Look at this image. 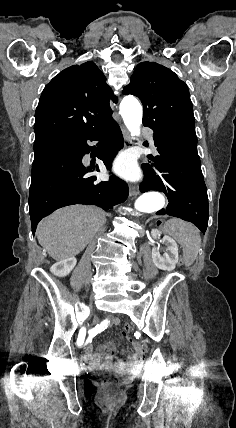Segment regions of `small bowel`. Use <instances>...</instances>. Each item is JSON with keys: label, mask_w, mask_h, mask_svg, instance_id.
<instances>
[{"label": "small bowel", "mask_w": 236, "mask_h": 428, "mask_svg": "<svg viewBox=\"0 0 236 428\" xmlns=\"http://www.w3.org/2000/svg\"><path fill=\"white\" fill-rule=\"evenodd\" d=\"M120 323L117 317H106L101 323L94 327L89 334V340L86 346V357L85 362L90 367L96 368L101 366H116L124 370H136L144 361L145 358V347L142 343L133 341L134 354L126 361H114L115 345L112 342L100 344L96 352H93V346L91 339L101 333L103 330L110 326H115Z\"/></svg>", "instance_id": "c3829d8e"}]
</instances>
